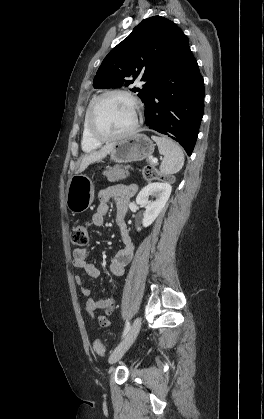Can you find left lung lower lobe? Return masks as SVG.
<instances>
[{"mask_svg": "<svg viewBox=\"0 0 264 419\" xmlns=\"http://www.w3.org/2000/svg\"><path fill=\"white\" fill-rule=\"evenodd\" d=\"M170 73L157 80L144 102L146 125L179 142L190 156L204 108V80L183 33L172 43Z\"/></svg>", "mask_w": 264, "mask_h": 419, "instance_id": "0a47b994", "label": "left lung lower lobe"}]
</instances>
